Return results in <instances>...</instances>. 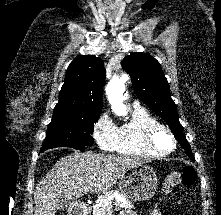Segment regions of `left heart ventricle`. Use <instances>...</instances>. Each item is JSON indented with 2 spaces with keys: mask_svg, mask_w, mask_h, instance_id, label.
<instances>
[{
  "mask_svg": "<svg viewBox=\"0 0 221 215\" xmlns=\"http://www.w3.org/2000/svg\"><path fill=\"white\" fill-rule=\"evenodd\" d=\"M156 142L161 148L166 149L170 147V139L165 133L158 134Z\"/></svg>",
  "mask_w": 221,
  "mask_h": 215,
  "instance_id": "1",
  "label": "left heart ventricle"
}]
</instances>
